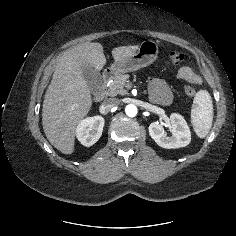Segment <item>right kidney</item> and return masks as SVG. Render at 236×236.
<instances>
[{
    "label": "right kidney",
    "mask_w": 236,
    "mask_h": 236,
    "mask_svg": "<svg viewBox=\"0 0 236 236\" xmlns=\"http://www.w3.org/2000/svg\"><path fill=\"white\" fill-rule=\"evenodd\" d=\"M104 122L101 116L82 120L76 128V136L80 143L86 147L95 144L102 135Z\"/></svg>",
    "instance_id": "1"
}]
</instances>
